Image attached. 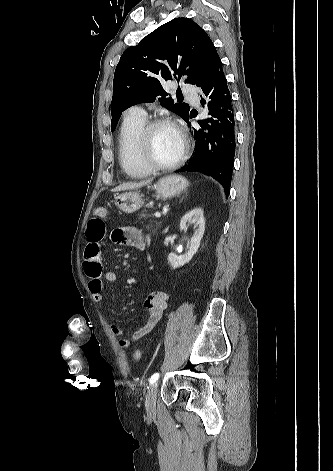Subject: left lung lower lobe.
Segmentation results:
<instances>
[{
    "instance_id": "obj_1",
    "label": "left lung lower lobe",
    "mask_w": 333,
    "mask_h": 471,
    "mask_svg": "<svg viewBox=\"0 0 333 471\" xmlns=\"http://www.w3.org/2000/svg\"><path fill=\"white\" fill-rule=\"evenodd\" d=\"M197 86L202 89L201 104L209 109L211 117L207 121L211 126L205 133L191 128L189 115L184 119L196 139V150L189 163L176 172L195 171L210 175L223 185L228 197L236 149L235 120L231 95L217 52Z\"/></svg>"
}]
</instances>
